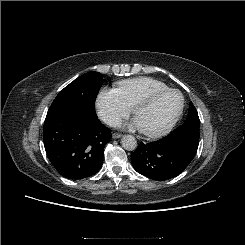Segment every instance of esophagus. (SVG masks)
Masks as SVG:
<instances>
[{"label":"esophagus","mask_w":245,"mask_h":245,"mask_svg":"<svg viewBox=\"0 0 245 245\" xmlns=\"http://www.w3.org/2000/svg\"><path fill=\"white\" fill-rule=\"evenodd\" d=\"M120 137H122V134H119V133H113V134H112V138H113V139H118V138H120Z\"/></svg>","instance_id":"1"}]
</instances>
